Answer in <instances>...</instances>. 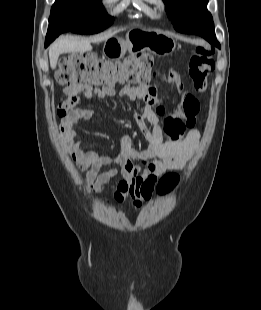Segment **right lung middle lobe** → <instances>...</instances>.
<instances>
[{
  "label": "right lung middle lobe",
  "instance_id": "dd1d6c3e",
  "mask_svg": "<svg viewBox=\"0 0 261 310\" xmlns=\"http://www.w3.org/2000/svg\"><path fill=\"white\" fill-rule=\"evenodd\" d=\"M113 21L101 0H56L51 9L47 34L59 30L93 34L109 27Z\"/></svg>",
  "mask_w": 261,
  "mask_h": 310
}]
</instances>
